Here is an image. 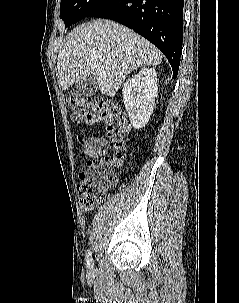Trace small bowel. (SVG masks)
Instances as JSON below:
<instances>
[{"instance_id": "small-bowel-1", "label": "small bowel", "mask_w": 239, "mask_h": 303, "mask_svg": "<svg viewBox=\"0 0 239 303\" xmlns=\"http://www.w3.org/2000/svg\"><path fill=\"white\" fill-rule=\"evenodd\" d=\"M78 141L82 147V153L88 155L92 158L100 157L106 154V149L104 147L105 142L102 138L97 136L85 137L79 136ZM84 212L92 211L93 208L87 206H82Z\"/></svg>"}]
</instances>
